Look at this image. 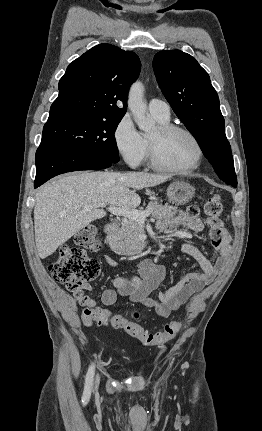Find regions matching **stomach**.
Instances as JSON below:
<instances>
[{
  "instance_id": "0dacf381",
  "label": "stomach",
  "mask_w": 262,
  "mask_h": 431,
  "mask_svg": "<svg viewBox=\"0 0 262 431\" xmlns=\"http://www.w3.org/2000/svg\"><path fill=\"white\" fill-rule=\"evenodd\" d=\"M195 194V189L184 181H174L167 188L168 199L177 205H184L191 201Z\"/></svg>"
}]
</instances>
